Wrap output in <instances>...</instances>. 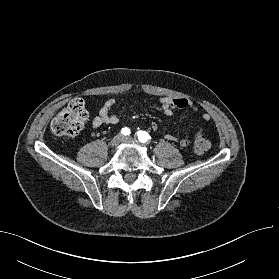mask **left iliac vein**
Masks as SVG:
<instances>
[{
  "label": "left iliac vein",
  "instance_id": "left-iliac-vein-1",
  "mask_svg": "<svg viewBox=\"0 0 279 279\" xmlns=\"http://www.w3.org/2000/svg\"><path fill=\"white\" fill-rule=\"evenodd\" d=\"M122 142L127 143V144H135L136 143V141L129 136L128 137H123Z\"/></svg>",
  "mask_w": 279,
  "mask_h": 279
}]
</instances>
